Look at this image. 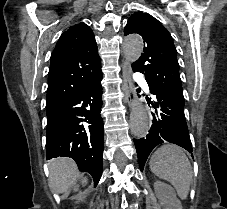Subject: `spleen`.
Here are the masks:
<instances>
[{"instance_id": "obj_1", "label": "spleen", "mask_w": 227, "mask_h": 209, "mask_svg": "<svg viewBox=\"0 0 227 209\" xmlns=\"http://www.w3.org/2000/svg\"><path fill=\"white\" fill-rule=\"evenodd\" d=\"M150 169L156 177L169 181L180 199H187L192 183V169L183 149L177 145H163L153 153Z\"/></svg>"}]
</instances>
